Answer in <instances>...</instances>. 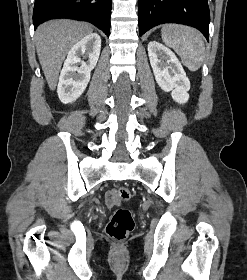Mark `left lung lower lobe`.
I'll use <instances>...</instances> for the list:
<instances>
[{"label":"left lung lower lobe","instance_id":"left-lung-lower-lobe-1","mask_svg":"<svg viewBox=\"0 0 247 280\" xmlns=\"http://www.w3.org/2000/svg\"><path fill=\"white\" fill-rule=\"evenodd\" d=\"M139 35L163 23H179L197 28L209 40L207 0H138Z\"/></svg>","mask_w":247,"mask_h":280}]
</instances>
